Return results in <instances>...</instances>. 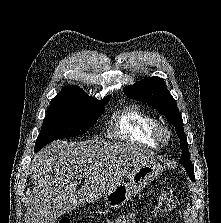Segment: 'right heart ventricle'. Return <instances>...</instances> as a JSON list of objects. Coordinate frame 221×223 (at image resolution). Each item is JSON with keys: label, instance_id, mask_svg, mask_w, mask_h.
<instances>
[{"label": "right heart ventricle", "instance_id": "e07e8e85", "mask_svg": "<svg viewBox=\"0 0 221 223\" xmlns=\"http://www.w3.org/2000/svg\"><path fill=\"white\" fill-rule=\"evenodd\" d=\"M157 123V118L151 112L139 105L130 104L112 114L109 121V136L158 148L159 144L151 136Z\"/></svg>", "mask_w": 221, "mask_h": 223}]
</instances>
